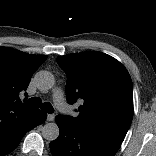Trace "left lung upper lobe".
<instances>
[{"mask_svg":"<svg viewBox=\"0 0 156 156\" xmlns=\"http://www.w3.org/2000/svg\"><path fill=\"white\" fill-rule=\"evenodd\" d=\"M57 63L67 74V101L83 103L79 115L68 118L79 129L122 143L133 117V86L126 68L97 51L59 56Z\"/></svg>","mask_w":156,"mask_h":156,"instance_id":"5c2ea615","label":"left lung upper lobe"}]
</instances>
